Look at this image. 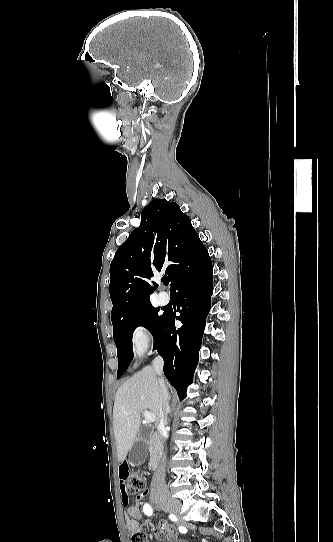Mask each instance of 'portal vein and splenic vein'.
<instances>
[{"label": "portal vein and splenic vein", "mask_w": 333, "mask_h": 542, "mask_svg": "<svg viewBox=\"0 0 333 542\" xmlns=\"http://www.w3.org/2000/svg\"><path fill=\"white\" fill-rule=\"evenodd\" d=\"M143 416H144L147 424H151V422H155L156 416H154V414H152V412H148V410H145Z\"/></svg>", "instance_id": "portal-vein-and-splenic-vein-1"}]
</instances>
